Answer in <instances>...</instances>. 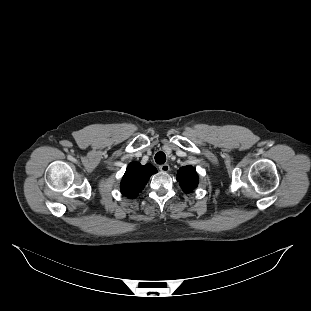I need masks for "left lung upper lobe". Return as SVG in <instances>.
<instances>
[{
    "instance_id": "5c2ea615",
    "label": "left lung upper lobe",
    "mask_w": 311,
    "mask_h": 311,
    "mask_svg": "<svg viewBox=\"0 0 311 311\" xmlns=\"http://www.w3.org/2000/svg\"><path fill=\"white\" fill-rule=\"evenodd\" d=\"M177 181L185 193L192 192L198 186V175L196 170L188 165L181 167L178 171Z\"/></svg>"
}]
</instances>
